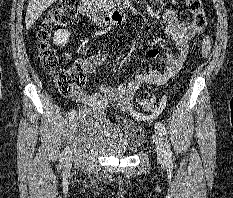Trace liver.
<instances>
[{
	"instance_id": "liver-1",
	"label": "liver",
	"mask_w": 233,
	"mask_h": 198,
	"mask_svg": "<svg viewBox=\"0 0 233 198\" xmlns=\"http://www.w3.org/2000/svg\"><path fill=\"white\" fill-rule=\"evenodd\" d=\"M57 0H30L25 17L26 29H30L41 14Z\"/></svg>"
}]
</instances>
